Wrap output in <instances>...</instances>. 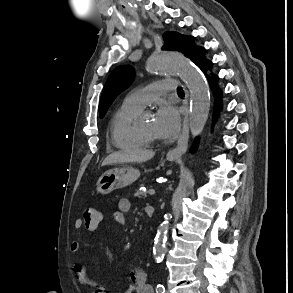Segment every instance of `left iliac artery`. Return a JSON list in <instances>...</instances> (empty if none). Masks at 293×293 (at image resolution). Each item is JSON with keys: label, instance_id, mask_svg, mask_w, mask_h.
<instances>
[{"label": "left iliac artery", "instance_id": "left-iliac-artery-1", "mask_svg": "<svg viewBox=\"0 0 293 293\" xmlns=\"http://www.w3.org/2000/svg\"><path fill=\"white\" fill-rule=\"evenodd\" d=\"M156 292L157 293H165V287L163 284H157L156 286Z\"/></svg>", "mask_w": 293, "mask_h": 293}]
</instances>
